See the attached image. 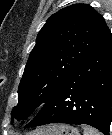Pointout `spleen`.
<instances>
[{
	"label": "spleen",
	"instance_id": "1",
	"mask_svg": "<svg viewBox=\"0 0 112 135\" xmlns=\"http://www.w3.org/2000/svg\"><path fill=\"white\" fill-rule=\"evenodd\" d=\"M84 135H101V134L100 132L91 127H84Z\"/></svg>",
	"mask_w": 112,
	"mask_h": 135
}]
</instances>
